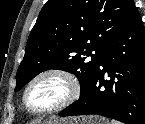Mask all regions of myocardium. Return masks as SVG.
I'll return each instance as SVG.
<instances>
[{"mask_svg":"<svg viewBox=\"0 0 145 124\" xmlns=\"http://www.w3.org/2000/svg\"><path fill=\"white\" fill-rule=\"evenodd\" d=\"M47 79H56L65 86V95L56 103L44 107L34 108L28 101V95L32 88ZM81 94V83L79 79L70 71L62 68H49L36 74L24 87L21 95V103L24 110L32 116H45L53 114L67 108L73 104Z\"/></svg>","mask_w":145,"mask_h":124,"instance_id":"obj_1","label":"myocardium"}]
</instances>
